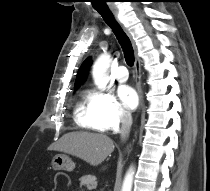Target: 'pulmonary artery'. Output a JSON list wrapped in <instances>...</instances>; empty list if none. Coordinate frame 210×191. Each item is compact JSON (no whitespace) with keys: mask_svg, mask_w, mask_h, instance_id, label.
<instances>
[{"mask_svg":"<svg viewBox=\"0 0 210 191\" xmlns=\"http://www.w3.org/2000/svg\"><path fill=\"white\" fill-rule=\"evenodd\" d=\"M115 77L119 82H125L128 79V71L125 66H119L116 70Z\"/></svg>","mask_w":210,"mask_h":191,"instance_id":"1","label":"pulmonary artery"}]
</instances>
